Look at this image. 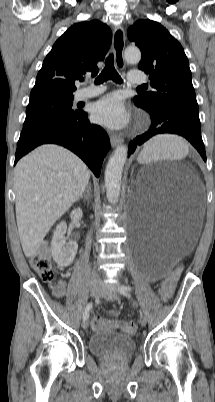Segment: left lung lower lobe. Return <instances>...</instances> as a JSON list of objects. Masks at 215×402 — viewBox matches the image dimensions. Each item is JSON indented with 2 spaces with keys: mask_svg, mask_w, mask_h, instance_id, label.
I'll list each match as a JSON object with an SVG mask.
<instances>
[{
  "mask_svg": "<svg viewBox=\"0 0 215 402\" xmlns=\"http://www.w3.org/2000/svg\"><path fill=\"white\" fill-rule=\"evenodd\" d=\"M134 103L150 114L151 125L145 133L130 142L129 155L135 151L137 146L151 137L162 133H171L186 138L200 153L203 160L206 161L199 115L172 106L153 107L138 102Z\"/></svg>",
  "mask_w": 215,
  "mask_h": 402,
  "instance_id": "1",
  "label": "left lung lower lobe"
}]
</instances>
